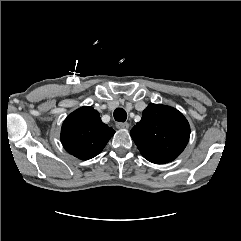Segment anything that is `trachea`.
<instances>
[{
	"label": "trachea",
	"instance_id": "trachea-1",
	"mask_svg": "<svg viewBox=\"0 0 241 241\" xmlns=\"http://www.w3.org/2000/svg\"><path fill=\"white\" fill-rule=\"evenodd\" d=\"M114 119L118 122H125L127 119V113L123 108H117L114 111Z\"/></svg>",
	"mask_w": 241,
	"mask_h": 241
}]
</instances>
